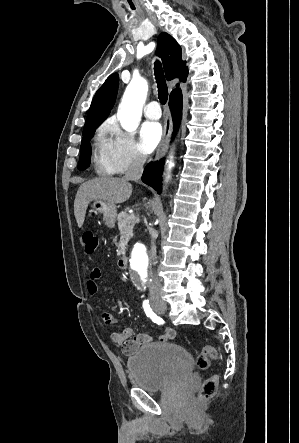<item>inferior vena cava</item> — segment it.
Wrapping results in <instances>:
<instances>
[{
	"label": "inferior vena cava",
	"mask_w": 299,
	"mask_h": 443,
	"mask_svg": "<svg viewBox=\"0 0 299 443\" xmlns=\"http://www.w3.org/2000/svg\"><path fill=\"white\" fill-rule=\"evenodd\" d=\"M146 161V157L140 153L135 154L133 160L124 176L126 180L138 181L143 172V166ZM151 234V249L149 252L150 263L151 265L156 264V245H155V235L153 231H150ZM150 295L151 297H157L162 293L161 282L158 277L154 274L152 270H150Z\"/></svg>",
	"instance_id": "inferior-vena-cava-1"
}]
</instances>
